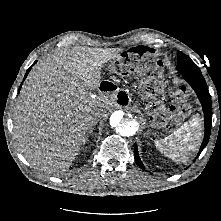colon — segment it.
I'll return each instance as SVG.
<instances>
[{
  "instance_id": "1",
  "label": "colon",
  "mask_w": 221,
  "mask_h": 221,
  "mask_svg": "<svg viewBox=\"0 0 221 221\" xmlns=\"http://www.w3.org/2000/svg\"><path fill=\"white\" fill-rule=\"evenodd\" d=\"M153 60L154 56L149 52V50L143 47H137L122 55V57L115 63V70L123 72L132 63L152 64ZM176 110L179 114H184L187 110L185 102L180 98L176 100Z\"/></svg>"
}]
</instances>
